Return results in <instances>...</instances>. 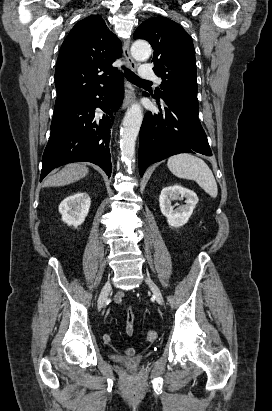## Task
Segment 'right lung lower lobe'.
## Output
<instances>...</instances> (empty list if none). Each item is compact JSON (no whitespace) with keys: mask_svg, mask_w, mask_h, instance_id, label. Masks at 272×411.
Returning <instances> with one entry per match:
<instances>
[{"mask_svg":"<svg viewBox=\"0 0 272 411\" xmlns=\"http://www.w3.org/2000/svg\"><path fill=\"white\" fill-rule=\"evenodd\" d=\"M124 97L122 75L84 98L54 111L51 135L42 158L40 181L61 165L88 161L111 175L109 152L112 113ZM99 108L101 112L96 113Z\"/></svg>","mask_w":272,"mask_h":411,"instance_id":"98d812e1","label":"right lung lower lobe"}]
</instances>
